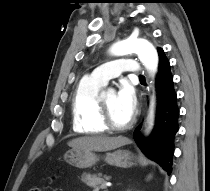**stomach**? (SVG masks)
<instances>
[{
    "label": "stomach",
    "instance_id": "0dacf381",
    "mask_svg": "<svg viewBox=\"0 0 210 191\" xmlns=\"http://www.w3.org/2000/svg\"><path fill=\"white\" fill-rule=\"evenodd\" d=\"M64 159L69 164L84 169L95 165L99 157L89 150L72 149L65 154ZM104 160L107 164L120 168H130L137 165V163H143L142 160L138 159L127 150H117L112 153H106Z\"/></svg>",
    "mask_w": 210,
    "mask_h": 191
}]
</instances>
